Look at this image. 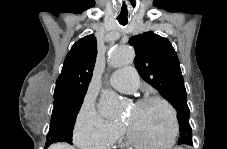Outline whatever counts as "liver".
Segmentation results:
<instances>
[{
  "label": "liver",
  "instance_id": "1",
  "mask_svg": "<svg viewBox=\"0 0 227 149\" xmlns=\"http://www.w3.org/2000/svg\"><path fill=\"white\" fill-rule=\"evenodd\" d=\"M51 149H74V148L69 145L58 144V145L51 146Z\"/></svg>",
  "mask_w": 227,
  "mask_h": 149
}]
</instances>
